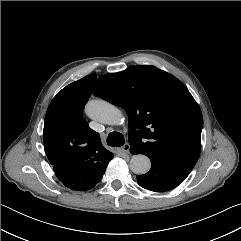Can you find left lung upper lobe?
Listing matches in <instances>:
<instances>
[{
    "instance_id": "left-lung-upper-lobe-1",
    "label": "left lung upper lobe",
    "mask_w": 241,
    "mask_h": 241,
    "mask_svg": "<svg viewBox=\"0 0 241 241\" xmlns=\"http://www.w3.org/2000/svg\"><path fill=\"white\" fill-rule=\"evenodd\" d=\"M93 94L125 109L128 141L150 160L191 171L201 150L199 105L176 77L154 66L106 74Z\"/></svg>"
}]
</instances>
